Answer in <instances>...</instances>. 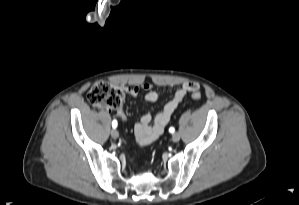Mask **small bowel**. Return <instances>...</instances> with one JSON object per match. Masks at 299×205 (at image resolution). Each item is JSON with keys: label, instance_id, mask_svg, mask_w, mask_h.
<instances>
[{"label": "small bowel", "instance_id": "small-bowel-1", "mask_svg": "<svg viewBox=\"0 0 299 205\" xmlns=\"http://www.w3.org/2000/svg\"><path fill=\"white\" fill-rule=\"evenodd\" d=\"M199 86L195 82L183 83L172 95L171 98L164 104L162 110L155 116L150 113L142 115L134 126L135 137L139 144L147 145L155 141L161 136L166 129L170 118L184 97L193 91L198 90ZM127 94L134 96L140 90H144V100L150 103L157 102L160 98L158 92H156L151 84L145 83L137 87H124ZM117 115L126 120V114L122 107L117 108Z\"/></svg>", "mask_w": 299, "mask_h": 205}]
</instances>
